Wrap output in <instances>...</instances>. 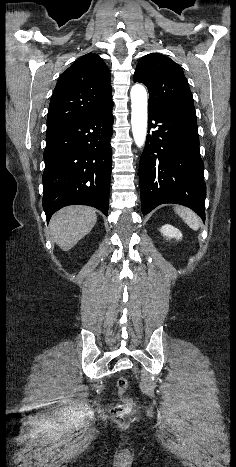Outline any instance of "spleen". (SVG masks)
<instances>
[{"label": "spleen", "mask_w": 236, "mask_h": 467, "mask_svg": "<svg viewBox=\"0 0 236 467\" xmlns=\"http://www.w3.org/2000/svg\"><path fill=\"white\" fill-rule=\"evenodd\" d=\"M176 213L185 221V223L193 230H198L199 219L197 215L188 208H177Z\"/></svg>", "instance_id": "spleen-1"}]
</instances>
